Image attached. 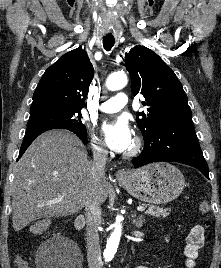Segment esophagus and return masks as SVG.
<instances>
[{
	"label": "esophagus",
	"mask_w": 221,
	"mask_h": 268,
	"mask_svg": "<svg viewBox=\"0 0 221 268\" xmlns=\"http://www.w3.org/2000/svg\"><path fill=\"white\" fill-rule=\"evenodd\" d=\"M115 176L117 179H123L127 177V172L123 169H119L116 171Z\"/></svg>",
	"instance_id": "1"
}]
</instances>
